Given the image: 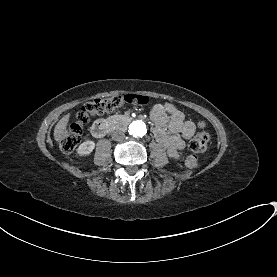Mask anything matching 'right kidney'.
Here are the masks:
<instances>
[{"mask_svg": "<svg viewBox=\"0 0 277 277\" xmlns=\"http://www.w3.org/2000/svg\"><path fill=\"white\" fill-rule=\"evenodd\" d=\"M95 148H96L95 141L93 140L84 141L76 149L77 156L80 158L89 156L92 154Z\"/></svg>", "mask_w": 277, "mask_h": 277, "instance_id": "ca27d5eb", "label": "right kidney"}]
</instances>
